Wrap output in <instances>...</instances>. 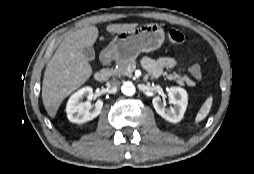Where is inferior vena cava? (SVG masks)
I'll use <instances>...</instances> for the list:
<instances>
[{"label":"inferior vena cava","instance_id":"obj_1","mask_svg":"<svg viewBox=\"0 0 254 174\" xmlns=\"http://www.w3.org/2000/svg\"><path fill=\"white\" fill-rule=\"evenodd\" d=\"M120 85V82L118 80H112L108 83L109 88L111 89H117Z\"/></svg>","mask_w":254,"mask_h":174}]
</instances>
